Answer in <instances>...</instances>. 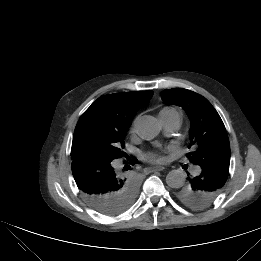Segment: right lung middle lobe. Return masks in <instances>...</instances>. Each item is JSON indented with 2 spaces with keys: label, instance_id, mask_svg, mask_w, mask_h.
<instances>
[{
  "label": "right lung middle lobe",
  "instance_id": "obj_1",
  "mask_svg": "<svg viewBox=\"0 0 261 261\" xmlns=\"http://www.w3.org/2000/svg\"><path fill=\"white\" fill-rule=\"evenodd\" d=\"M129 127L108 120L94 112L85 111L80 117L73 136L71 156L85 155L107 161L125 156L124 138ZM124 202L131 205L138 191V183L130 178L123 189Z\"/></svg>",
  "mask_w": 261,
  "mask_h": 261
}]
</instances>
